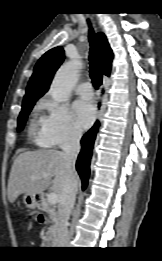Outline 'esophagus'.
<instances>
[{"instance_id": "obj_1", "label": "esophagus", "mask_w": 162, "mask_h": 261, "mask_svg": "<svg viewBox=\"0 0 162 261\" xmlns=\"http://www.w3.org/2000/svg\"><path fill=\"white\" fill-rule=\"evenodd\" d=\"M101 114H102V108H100V110L98 112V119H100Z\"/></svg>"}]
</instances>
